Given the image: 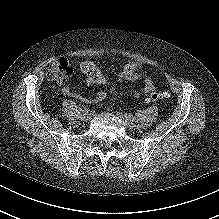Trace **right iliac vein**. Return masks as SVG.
Wrapping results in <instances>:
<instances>
[{
  "label": "right iliac vein",
  "instance_id": "1",
  "mask_svg": "<svg viewBox=\"0 0 219 219\" xmlns=\"http://www.w3.org/2000/svg\"><path fill=\"white\" fill-rule=\"evenodd\" d=\"M91 118V115L89 113H84L82 116H81V119L83 121H88L89 119Z\"/></svg>",
  "mask_w": 219,
  "mask_h": 219
}]
</instances>
